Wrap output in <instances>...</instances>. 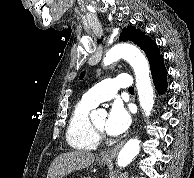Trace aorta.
<instances>
[{"instance_id":"obj_1","label":"aorta","mask_w":194,"mask_h":178,"mask_svg":"<svg viewBox=\"0 0 194 178\" xmlns=\"http://www.w3.org/2000/svg\"><path fill=\"white\" fill-rule=\"evenodd\" d=\"M120 58L125 59L133 68L136 76V87L140 106L145 116H149L154 105V92L150 79V67L144 54L134 45L121 43L113 46L105 55L104 65H110ZM97 112H92L91 116ZM140 151V140L133 138L127 141L117 157V165L126 167Z\"/></svg>"}]
</instances>
